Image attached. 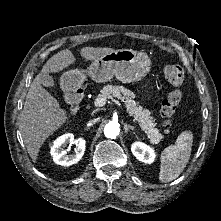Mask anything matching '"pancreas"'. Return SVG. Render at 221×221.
<instances>
[{
	"label": "pancreas",
	"instance_id": "pancreas-1",
	"mask_svg": "<svg viewBox=\"0 0 221 221\" xmlns=\"http://www.w3.org/2000/svg\"><path fill=\"white\" fill-rule=\"evenodd\" d=\"M100 98L113 99L118 98L125 103L127 111L130 116L134 117V121L138 122L141 129L150 139L153 144H158L163 135L155 128V123L151 113L143 109L138 102L134 100L135 94L123 86L119 85H106L98 95Z\"/></svg>",
	"mask_w": 221,
	"mask_h": 221
}]
</instances>
